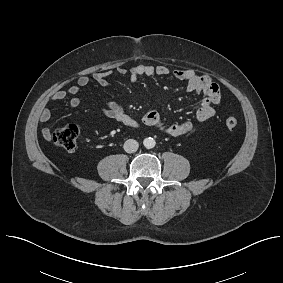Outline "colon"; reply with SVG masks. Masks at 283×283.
<instances>
[{
    "instance_id": "colon-1",
    "label": "colon",
    "mask_w": 283,
    "mask_h": 283,
    "mask_svg": "<svg viewBox=\"0 0 283 283\" xmlns=\"http://www.w3.org/2000/svg\"><path fill=\"white\" fill-rule=\"evenodd\" d=\"M228 128H235L238 120L235 117H228L225 120ZM80 134V126L76 123H70L53 130L49 134L50 140L58 147L65 150H74Z\"/></svg>"
}]
</instances>
